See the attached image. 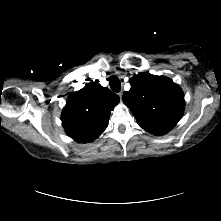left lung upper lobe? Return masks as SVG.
<instances>
[{"instance_id":"obj_1","label":"left lung upper lobe","mask_w":221,"mask_h":221,"mask_svg":"<svg viewBox=\"0 0 221 221\" xmlns=\"http://www.w3.org/2000/svg\"><path fill=\"white\" fill-rule=\"evenodd\" d=\"M130 84L123 101L142 128L161 135L177 124L183 114L184 95L171 79L139 73L131 78Z\"/></svg>"}]
</instances>
